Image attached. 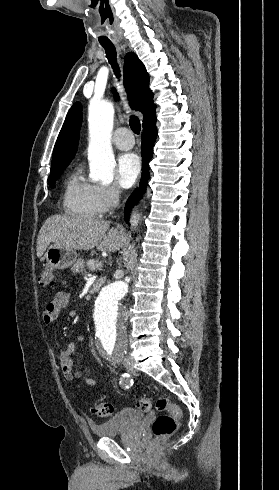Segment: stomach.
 <instances>
[{
    "label": "stomach",
    "instance_id": "1",
    "mask_svg": "<svg viewBox=\"0 0 279 490\" xmlns=\"http://www.w3.org/2000/svg\"><path fill=\"white\" fill-rule=\"evenodd\" d=\"M48 266L54 268V270H64L69 268L72 264L77 262L78 254L75 250H67V248H60V246H49L44 256Z\"/></svg>",
    "mask_w": 279,
    "mask_h": 490
}]
</instances>
